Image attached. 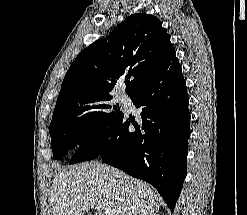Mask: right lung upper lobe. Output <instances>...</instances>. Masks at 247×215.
<instances>
[{
    "label": "right lung upper lobe",
    "instance_id": "obj_1",
    "mask_svg": "<svg viewBox=\"0 0 247 215\" xmlns=\"http://www.w3.org/2000/svg\"><path fill=\"white\" fill-rule=\"evenodd\" d=\"M173 49L159 19L145 13L130 16L107 38L79 53L62 82L54 113L79 101L109 95L125 74L129 95Z\"/></svg>",
    "mask_w": 247,
    "mask_h": 215
}]
</instances>
